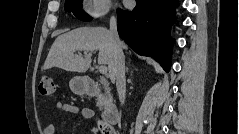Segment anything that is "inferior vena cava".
I'll list each match as a JSON object with an SVG mask.
<instances>
[{"label": "inferior vena cava", "instance_id": "obj_1", "mask_svg": "<svg viewBox=\"0 0 239 134\" xmlns=\"http://www.w3.org/2000/svg\"><path fill=\"white\" fill-rule=\"evenodd\" d=\"M110 34L114 45L113 61L110 66V73L116 80V88L121 104H124L126 97L125 78V57L120 47V40L117 33V22L114 16L110 18Z\"/></svg>", "mask_w": 239, "mask_h": 134}]
</instances>
